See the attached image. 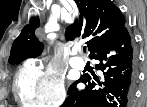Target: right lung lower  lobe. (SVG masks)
Wrapping results in <instances>:
<instances>
[{"label":"right lung lower lobe","instance_id":"98d812e1","mask_svg":"<svg viewBox=\"0 0 147 107\" xmlns=\"http://www.w3.org/2000/svg\"><path fill=\"white\" fill-rule=\"evenodd\" d=\"M100 63L96 69L103 72L101 81L81 76L68 90L61 107H130L137 80L136 55L127 28L98 49L91 57ZM83 82L86 88L78 91L75 85Z\"/></svg>","mask_w":147,"mask_h":107}]
</instances>
